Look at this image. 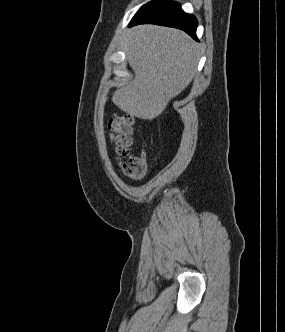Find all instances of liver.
<instances>
[{"mask_svg":"<svg viewBox=\"0 0 285 332\" xmlns=\"http://www.w3.org/2000/svg\"><path fill=\"white\" fill-rule=\"evenodd\" d=\"M126 51L135 77L112 101L131 116L151 120L190 84L200 47L178 29L140 25L130 29Z\"/></svg>","mask_w":285,"mask_h":332,"instance_id":"obj_1","label":"liver"}]
</instances>
